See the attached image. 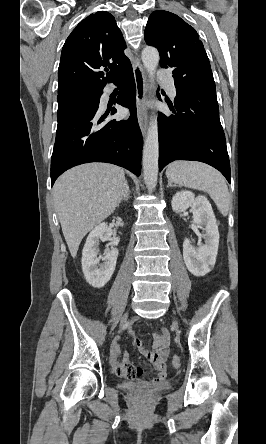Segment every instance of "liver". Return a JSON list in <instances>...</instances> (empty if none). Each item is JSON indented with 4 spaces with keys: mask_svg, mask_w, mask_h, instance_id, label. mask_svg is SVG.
<instances>
[{
    "mask_svg": "<svg viewBox=\"0 0 266 444\" xmlns=\"http://www.w3.org/2000/svg\"><path fill=\"white\" fill-rule=\"evenodd\" d=\"M125 184L124 170L106 163L74 167L56 180L54 203L73 258L83 237L113 213Z\"/></svg>",
    "mask_w": 266,
    "mask_h": 444,
    "instance_id": "obj_1",
    "label": "liver"
}]
</instances>
